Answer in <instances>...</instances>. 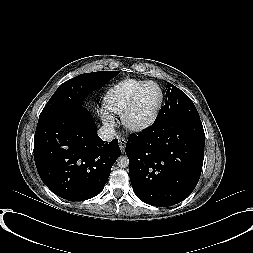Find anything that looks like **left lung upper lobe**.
<instances>
[{
    "mask_svg": "<svg viewBox=\"0 0 253 253\" xmlns=\"http://www.w3.org/2000/svg\"><path fill=\"white\" fill-rule=\"evenodd\" d=\"M166 90L165 105L159 111L153 125L180 119H200L192 100L183 91L171 83H168Z\"/></svg>",
    "mask_w": 253,
    "mask_h": 253,
    "instance_id": "5c2ea615",
    "label": "left lung upper lobe"
}]
</instances>
